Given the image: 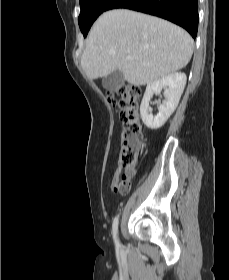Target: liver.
Instances as JSON below:
<instances>
[{"mask_svg":"<svg viewBox=\"0 0 229 280\" xmlns=\"http://www.w3.org/2000/svg\"><path fill=\"white\" fill-rule=\"evenodd\" d=\"M193 45L192 37L177 25L116 9L103 13L92 26L81 66L90 80L119 70L128 83L145 85L184 68Z\"/></svg>","mask_w":229,"mask_h":280,"instance_id":"obj_1","label":"liver"}]
</instances>
